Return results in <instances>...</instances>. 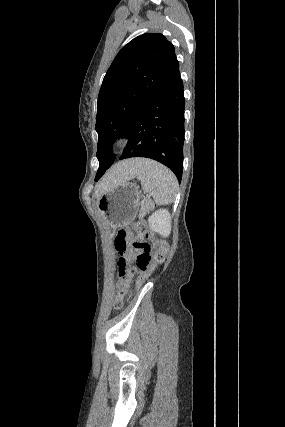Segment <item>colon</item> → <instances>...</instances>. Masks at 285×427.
<instances>
[{
  "label": "colon",
  "instance_id": "obj_1",
  "mask_svg": "<svg viewBox=\"0 0 285 427\" xmlns=\"http://www.w3.org/2000/svg\"><path fill=\"white\" fill-rule=\"evenodd\" d=\"M130 232L133 234V242L128 234L117 235L114 241L117 253L124 254L129 249L138 253L134 265L126 267L124 262H120L121 274L123 276L126 273V276L118 286V293L113 304L115 309L123 306V299L129 289L131 276L138 273L139 281L143 282L158 265L165 262L169 253L168 244L163 240H153L152 234L146 229L143 222H133Z\"/></svg>",
  "mask_w": 285,
  "mask_h": 427
}]
</instances>
